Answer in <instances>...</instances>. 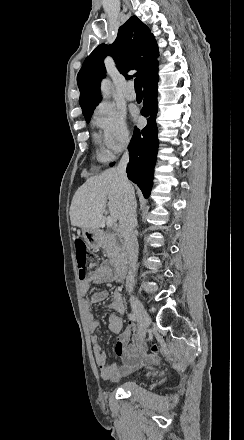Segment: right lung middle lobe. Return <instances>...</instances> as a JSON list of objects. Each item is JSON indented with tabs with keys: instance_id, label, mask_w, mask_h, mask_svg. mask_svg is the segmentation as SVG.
Masks as SVG:
<instances>
[{
	"instance_id": "dd1d6c3e",
	"label": "right lung middle lobe",
	"mask_w": 244,
	"mask_h": 440,
	"mask_svg": "<svg viewBox=\"0 0 244 440\" xmlns=\"http://www.w3.org/2000/svg\"><path fill=\"white\" fill-rule=\"evenodd\" d=\"M93 110L89 111V112H83V115L85 117L86 122L90 121L91 118V114H92Z\"/></svg>"
}]
</instances>
